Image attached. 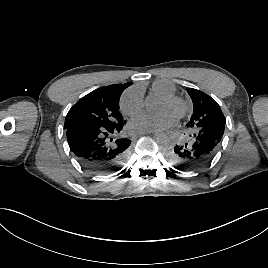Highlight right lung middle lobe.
<instances>
[{"label":"right lung middle lobe","instance_id":"right-lung-middle-lobe-1","mask_svg":"<svg viewBox=\"0 0 268 268\" xmlns=\"http://www.w3.org/2000/svg\"><path fill=\"white\" fill-rule=\"evenodd\" d=\"M121 93L98 88L82 97L68 112L64 127L89 124L109 127L123 121L119 112Z\"/></svg>","mask_w":268,"mask_h":268}]
</instances>
